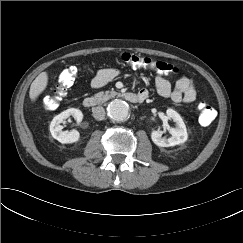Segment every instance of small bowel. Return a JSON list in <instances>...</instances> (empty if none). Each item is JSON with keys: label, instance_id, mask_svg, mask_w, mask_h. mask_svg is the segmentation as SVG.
<instances>
[{"label": "small bowel", "instance_id": "small-bowel-1", "mask_svg": "<svg viewBox=\"0 0 243 243\" xmlns=\"http://www.w3.org/2000/svg\"><path fill=\"white\" fill-rule=\"evenodd\" d=\"M119 75V71L114 68H106L99 70L95 77L93 78L91 85L93 88H101L106 85L111 80L115 79ZM155 86L157 93L164 98H170L172 101L176 103H193L197 99V92L192 83V81L182 75L180 76L174 86L172 87L170 81L166 79L161 74H156ZM138 94L145 95L146 98L149 95L147 89H141Z\"/></svg>", "mask_w": 243, "mask_h": 243}]
</instances>
